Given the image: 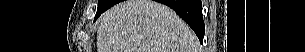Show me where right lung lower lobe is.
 <instances>
[{"label": "right lung lower lobe", "mask_w": 305, "mask_h": 52, "mask_svg": "<svg viewBox=\"0 0 305 52\" xmlns=\"http://www.w3.org/2000/svg\"><path fill=\"white\" fill-rule=\"evenodd\" d=\"M172 8L189 26L194 30L200 42L202 43L205 27L202 18L201 0H157ZM120 0H109L107 5L98 12L95 20L111 6L119 3Z\"/></svg>", "instance_id": "98d812e1"}]
</instances>
